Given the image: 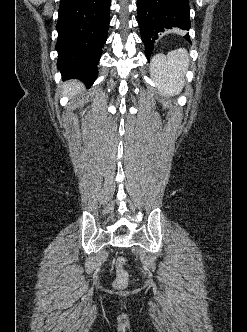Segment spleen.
Masks as SVG:
<instances>
[{"instance_id": "1", "label": "spleen", "mask_w": 247, "mask_h": 332, "mask_svg": "<svg viewBox=\"0 0 247 332\" xmlns=\"http://www.w3.org/2000/svg\"><path fill=\"white\" fill-rule=\"evenodd\" d=\"M188 67L189 56L185 48L171 51L167 56L155 55L151 60L150 71L159 93L164 96L178 95L183 89Z\"/></svg>"}]
</instances>
